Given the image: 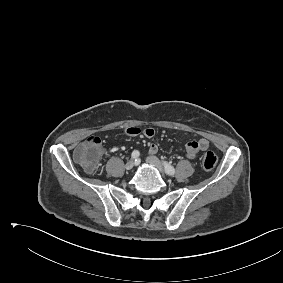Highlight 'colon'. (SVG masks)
<instances>
[{
  "label": "colon",
  "mask_w": 283,
  "mask_h": 283,
  "mask_svg": "<svg viewBox=\"0 0 283 283\" xmlns=\"http://www.w3.org/2000/svg\"><path fill=\"white\" fill-rule=\"evenodd\" d=\"M100 155L101 139L97 135L88 137L74 152L77 162L90 172L98 170ZM217 161L216 154L212 151H207L202 157V167L205 170H212L216 166Z\"/></svg>",
  "instance_id": "obj_1"
}]
</instances>
